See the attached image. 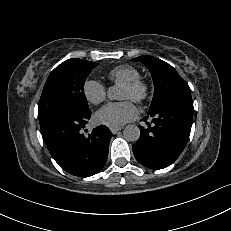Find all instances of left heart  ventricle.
Here are the masks:
<instances>
[{"mask_svg": "<svg viewBox=\"0 0 231 231\" xmlns=\"http://www.w3.org/2000/svg\"><path fill=\"white\" fill-rule=\"evenodd\" d=\"M120 98L121 99L132 100V98H133V92L131 90H129L128 88H126L125 86H123Z\"/></svg>", "mask_w": 231, "mask_h": 231, "instance_id": "left-heart-ventricle-1", "label": "left heart ventricle"}]
</instances>
